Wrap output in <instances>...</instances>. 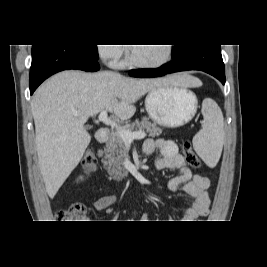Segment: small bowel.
Masks as SVG:
<instances>
[{"mask_svg": "<svg viewBox=\"0 0 267 267\" xmlns=\"http://www.w3.org/2000/svg\"><path fill=\"white\" fill-rule=\"evenodd\" d=\"M143 150L146 155H151L156 150L160 152V156L155 160V167L158 170L175 169L178 171V175L168 183L170 191H183L194 198L193 205L185 211L182 222H191L207 214L210 202L207 190L210 181L206 176L192 173L179 153L176 143L166 139H148L144 142ZM116 202L115 195L102 196L95 201L94 208L97 211L105 210ZM140 221L150 222L148 214H143Z\"/></svg>", "mask_w": 267, "mask_h": 267, "instance_id": "c3829d8e", "label": "small bowel"}]
</instances>
